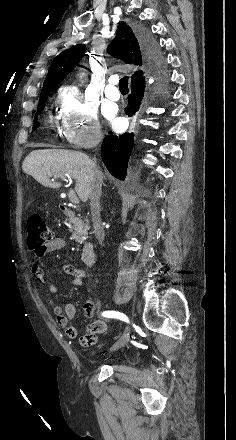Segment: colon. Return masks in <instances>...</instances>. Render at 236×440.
<instances>
[{
	"instance_id": "obj_1",
	"label": "colon",
	"mask_w": 236,
	"mask_h": 440,
	"mask_svg": "<svg viewBox=\"0 0 236 440\" xmlns=\"http://www.w3.org/2000/svg\"><path fill=\"white\" fill-rule=\"evenodd\" d=\"M28 245L37 250L50 242L54 237L53 230L38 214H31L27 219Z\"/></svg>"
}]
</instances>
